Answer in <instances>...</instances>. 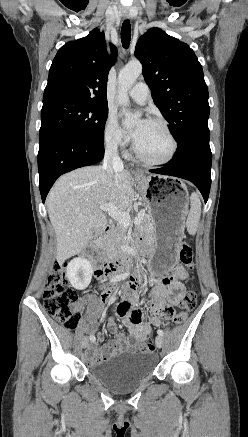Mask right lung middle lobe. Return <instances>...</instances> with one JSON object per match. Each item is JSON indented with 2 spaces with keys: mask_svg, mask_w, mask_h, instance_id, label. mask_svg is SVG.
Here are the masks:
<instances>
[{
  "mask_svg": "<svg viewBox=\"0 0 248 437\" xmlns=\"http://www.w3.org/2000/svg\"><path fill=\"white\" fill-rule=\"evenodd\" d=\"M107 116L108 106L69 97L43 99L40 134L62 129L102 143Z\"/></svg>",
  "mask_w": 248,
  "mask_h": 437,
  "instance_id": "right-lung-middle-lobe-1",
  "label": "right lung middle lobe"
}]
</instances>
